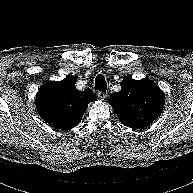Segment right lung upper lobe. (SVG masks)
Listing matches in <instances>:
<instances>
[{
	"label": "right lung upper lobe",
	"mask_w": 193,
	"mask_h": 193,
	"mask_svg": "<svg viewBox=\"0 0 193 193\" xmlns=\"http://www.w3.org/2000/svg\"><path fill=\"white\" fill-rule=\"evenodd\" d=\"M76 82L75 77L50 81L37 92L35 104L40 117L56 129L68 130L77 126L88 104L97 98L89 88L77 90Z\"/></svg>",
	"instance_id": "1"
}]
</instances>
